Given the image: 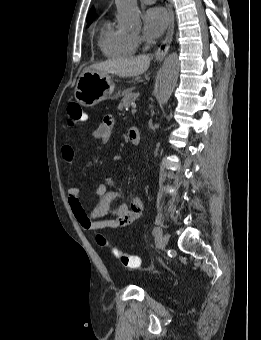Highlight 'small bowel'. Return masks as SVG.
<instances>
[{
  "instance_id": "1",
  "label": "small bowel",
  "mask_w": 261,
  "mask_h": 340,
  "mask_svg": "<svg viewBox=\"0 0 261 340\" xmlns=\"http://www.w3.org/2000/svg\"><path fill=\"white\" fill-rule=\"evenodd\" d=\"M114 120L107 116L103 121L93 130L94 138L100 139L103 142H108L113 131ZM61 154L64 161L72 163L74 159V149L71 145H64L61 148ZM115 181L110 179L107 183L98 184L97 187L90 191L93 197L99 198V202L87 212L81 201L79 187L73 185L68 190V202L70 208L80 224V226L88 231H107L126 227L137 220L143 209V204L139 196L133 195L130 202L127 203L123 199V195L114 187ZM122 199V202L115 208H112V203ZM111 213L113 218L101 220Z\"/></svg>"
}]
</instances>
